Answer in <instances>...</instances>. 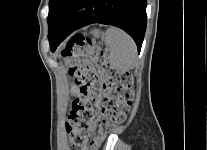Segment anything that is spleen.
<instances>
[{"instance_id":"3e777b00","label":"spleen","mask_w":207,"mask_h":150,"mask_svg":"<svg viewBox=\"0 0 207 150\" xmlns=\"http://www.w3.org/2000/svg\"><path fill=\"white\" fill-rule=\"evenodd\" d=\"M109 48L108 61L110 67L122 72L133 69L137 63V48L133 39L123 30L111 27L104 37Z\"/></svg>"}]
</instances>
